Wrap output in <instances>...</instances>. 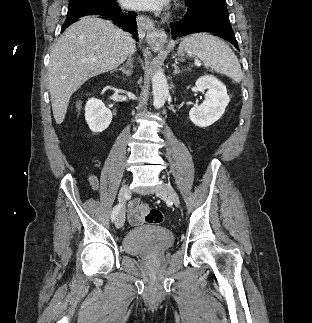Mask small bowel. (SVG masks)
<instances>
[{"label": "small bowel", "instance_id": "obj_1", "mask_svg": "<svg viewBox=\"0 0 312 323\" xmlns=\"http://www.w3.org/2000/svg\"><path fill=\"white\" fill-rule=\"evenodd\" d=\"M88 182L93 190H98L99 181L98 178L94 175L88 177ZM139 201L138 199H133L130 201L128 206V222L132 226H139L142 224L143 219L138 211Z\"/></svg>", "mask_w": 312, "mask_h": 323}]
</instances>
